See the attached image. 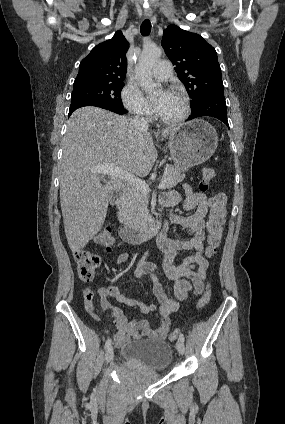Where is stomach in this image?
Listing matches in <instances>:
<instances>
[{"label": "stomach", "instance_id": "0dacf381", "mask_svg": "<svg viewBox=\"0 0 285 424\" xmlns=\"http://www.w3.org/2000/svg\"><path fill=\"white\" fill-rule=\"evenodd\" d=\"M217 145L216 130L202 119L179 126L168 138L171 158L180 172L207 161Z\"/></svg>", "mask_w": 285, "mask_h": 424}]
</instances>
